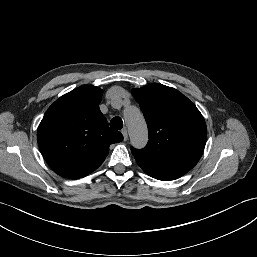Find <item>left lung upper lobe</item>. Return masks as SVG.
<instances>
[{"label":"left lung upper lobe","mask_w":257,"mask_h":257,"mask_svg":"<svg viewBox=\"0 0 257 257\" xmlns=\"http://www.w3.org/2000/svg\"><path fill=\"white\" fill-rule=\"evenodd\" d=\"M132 94L145 116L149 141L144 149L132 148L138 164L159 168H193L207 138L204 118L178 90L151 84Z\"/></svg>","instance_id":"left-lung-upper-lobe-1"}]
</instances>
